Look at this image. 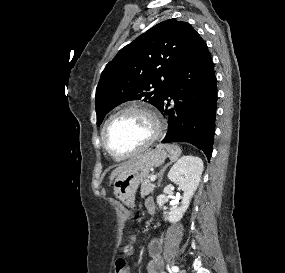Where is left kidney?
Returning <instances> with one entry per match:
<instances>
[{"mask_svg":"<svg viewBox=\"0 0 285 273\" xmlns=\"http://www.w3.org/2000/svg\"><path fill=\"white\" fill-rule=\"evenodd\" d=\"M203 172V162L199 157L183 156L170 169L168 178L171 182L177 183L184 192L180 207L171 208L170 212H164L165 220L176 223L181 220L189 207L190 200L193 197ZM168 201L165 195L157 197V203L160 208Z\"/></svg>","mask_w":285,"mask_h":273,"instance_id":"5707ae66","label":"left kidney"}]
</instances>
